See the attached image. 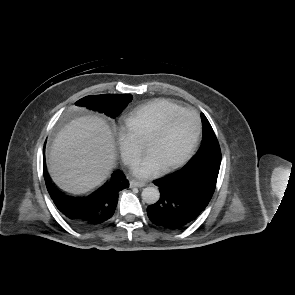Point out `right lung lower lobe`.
<instances>
[{"label":"right lung lower lobe","instance_id":"1","mask_svg":"<svg viewBox=\"0 0 295 295\" xmlns=\"http://www.w3.org/2000/svg\"><path fill=\"white\" fill-rule=\"evenodd\" d=\"M44 178L48 192L58 210L72 225L88 229L101 225L112 217L118 201V192L129 187L122 172L116 171L109 182L86 198L66 196L51 183L44 161Z\"/></svg>","mask_w":295,"mask_h":295}]
</instances>
